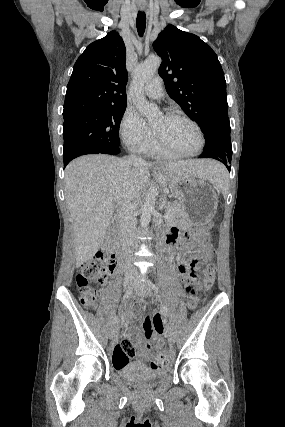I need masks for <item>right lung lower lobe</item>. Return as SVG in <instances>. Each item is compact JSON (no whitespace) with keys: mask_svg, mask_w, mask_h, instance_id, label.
<instances>
[{"mask_svg":"<svg viewBox=\"0 0 285 427\" xmlns=\"http://www.w3.org/2000/svg\"><path fill=\"white\" fill-rule=\"evenodd\" d=\"M68 163H64V167L67 165Z\"/></svg>","mask_w":285,"mask_h":427,"instance_id":"obj_1","label":"right lung lower lobe"}]
</instances>
